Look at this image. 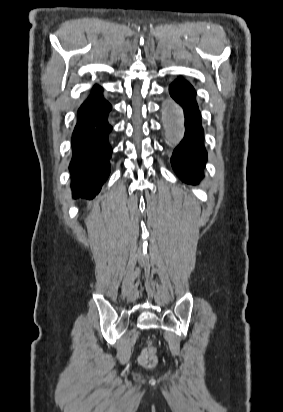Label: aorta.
Listing matches in <instances>:
<instances>
[{"label":"aorta","mask_w":283,"mask_h":412,"mask_svg":"<svg viewBox=\"0 0 283 412\" xmlns=\"http://www.w3.org/2000/svg\"><path fill=\"white\" fill-rule=\"evenodd\" d=\"M173 116H174V127L176 133L179 135L181 131V119H182V110L179 107H173L172 109Z\"/></svg>","instance_id":"aorta-1"}]
</instances>
